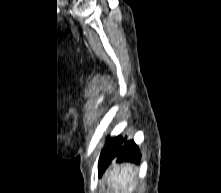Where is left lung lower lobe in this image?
Masks as SVG:
<instances>
[{
	"mask_svg": "<svg viewBox=\"0 0 221 193\" xmlns=\"http://www.w3.org/2000/svg\"><path fill=\"white\" fill-rule=\"evenodd\" d=\"M140 158V150L133 140H128L126 136L120 135L114 138L108 136L99 158V175L103 174L114 159H117L119 163L123 161L138 163Z\"/></svg>",
	"mask_w": 221,
	"mask_h": 193,
	"instance_id": "0a47b994",
	"label": "left lung lower lobe"
}]
</instances>
